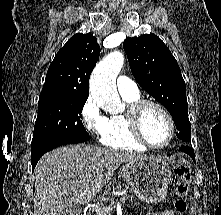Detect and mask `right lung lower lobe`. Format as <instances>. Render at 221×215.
Wrapping results in <instances>:
<instances>
[{
	"label": "right lung lower lobe",
	"mask_w": 221,
	"mask_h": 215,
	"mask_svg": "<svg viewBox=\"0 0 221 215\" xmlns=\"http://www.w3.org/2000/svg\"><path fill=\"white\" fill-rule=\"evenodd\" d=\"M86 140H88V137H85V138H83V139H80V140H77V141H73V142H70V143H66V144H76V143L84 142V141H86ZM57 146H59V145H57ZM57 146H52V147L46 148V149H44V150H42V151H39V152H37V153H35V154H31L32 169L35 168V166H36L38 160L41 158V156H42L44 153H46V152H48V151L54 149V148L57 147Z\"/></svg>",
	"instance_id": "1"
}]
</instances>
